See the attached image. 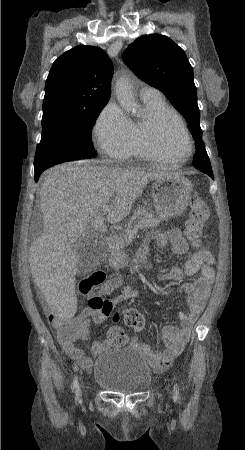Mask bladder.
<instances>
[{"label": "bladder", "mask_w": 245, "mask_h": 450, "mask_svg": "<svg viewBox=\"0 0 245 450\" xmlns=\"http://www.w3.org/2000/svg\"><path fill=\"white\" fill-rule=\"evenodd\" d=\"M152 372L141 353L121 347L100 356L94 364L93 382L113 392H143L152 383Z\"/></svg>", "instance_id": "bladder-1"}]
</instances>
